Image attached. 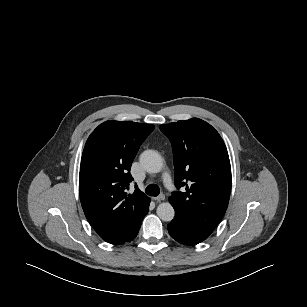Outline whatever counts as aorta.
Masks as SVG:
<instances>
[{
  "label": "aorta",
  "instance_id": "762f6f07",
  "mask_svg": "<svg viewBox=\"0 0 307 307\" xmlns=\"http://www.w3.org/2000/svg\"><path fill=\"white\" fill-rule=\"evenodd\" d=\"M140 163L148 173H158L163 168L161 155L154 150H145L140 155ZM157 215L162 221L173 220L175 211L169 202L160 203L157 207Z\"/></svg>",
  "mask_w": 307,
  "mask_h": 307
}]
</instances>
